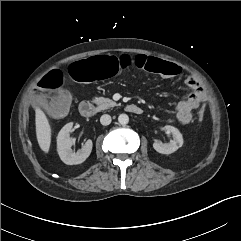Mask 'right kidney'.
<instances>
[{
    "label": "right kidney",
    "instance_id": "1",
    "mask_svg": "<svg viewBox=\"0 0 241 241\" xmlns=\"http://www.w3.org/2000/svg\"><path fill=\"white\" fill-rule=\"evenodd\" d=\"M73 123L66 124L59 132L57 137V151L60 159L67 165H77L83 163L92 151L93 143L87 140L82 149L76 153L72 150L73 140L70 138Z\"/></svg>",
    "mask_w": 241,
    "mask_h": 241
}]
</instances>
